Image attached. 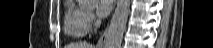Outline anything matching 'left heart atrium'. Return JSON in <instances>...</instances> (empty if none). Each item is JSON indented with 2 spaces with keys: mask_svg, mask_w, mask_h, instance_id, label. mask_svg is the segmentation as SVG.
Instances as JSON below:
<instances>
[{
  "mask_svg": "<svg viewBox=\"0 0 213 48\" xmlns=\"http://www.w3.org/2000/svg\"><path fill=\"white\" fill-rule=\"evenodd\" d=\"M113 0H100L97 2L96 13L99 17L108 15L112 10Z\"/></svg>",
  "mask_w": 213,
  "mask_h": 48,
  "instance_id": "left-heart-atrium-1",
  "label": "left heart atrium"
}]
</instances>
